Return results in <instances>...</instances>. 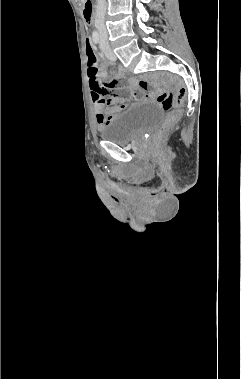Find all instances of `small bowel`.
Masks as SVG:
<instances>
[{"instance_id": "small-bowel-1", "label": "small bowel", "mask_w": 241, "mask_h": 379, "mask_svg": "<svg viewBox=\"0 0 241 379\" xmlns=\"http://www.w3.org/2000/svg\"><path fill=\"white\" fill-rule=\"evenodd\" d=\"M88 42L92 44L90 39H87ZM99 78L102 80L106 79V74L104 71H100L98 74ZM102 85H111V83L100 82ZM148 82L146 80H129L128 83L122 87L115 88L114 91H120L123 95H116L114 93L110 95H100L95 89H91V97L93 102V108L95 112V120L98 128H102L106 125L115 114L126 108V100H152L154 98L153 94L140 97L138 94V89L147 90Z\"/></svg>"}]
</instances>
